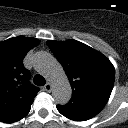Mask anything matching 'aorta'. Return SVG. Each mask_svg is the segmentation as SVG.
<instances>
[{
  "label": "aorta",
  "mask_w": 128,
  "mask_h": 128,
  "mask_svg": "<svg viewBox=\"0 0 128 128\" xmlns=\"http://www.w3.org/2000/svg\"><path fill=\"white\" fill-rule=\"evenodd\" d=\"M33 63L35 68L46 75L52 85V95L57 104L65 105L69 102L72 89L68 78L57 60L47 52H37L34 55Z\"/></svg>",
  "instance_id": "obj_1"
}]
</instances>
